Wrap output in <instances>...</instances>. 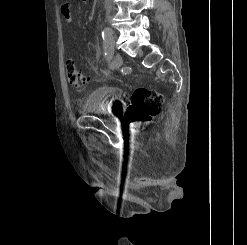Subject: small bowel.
<instances>
[{"label":"small bowel","mask_w":247,"mask_h":245,"mask_svg":"<svg viewBox=\"0 0 247 245\" xmlns=\"http://www.w3.org/2000/svg\"><path fill=\"white\" fill-rule=\"evenodd\" d=\"M61 12L64 15L65 19L70 22L72 19V15H71V10H70V6L68 4H64L61 7Z\"/></svg>","instance_id":"small-bowel-1"}]
</instances>
